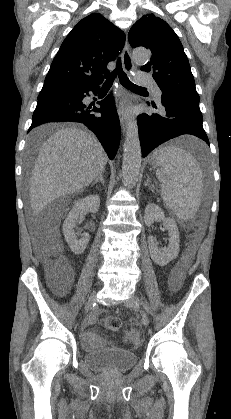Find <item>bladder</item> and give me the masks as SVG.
<instances>
[{
    "label": "bladder",
    "mask_w": 231,
    "mask_h": 419,
    "mask_svg": "<svg viewBox=\"0 0 231 419\" xmlns=\"http://www.w3.org/2000/svg\"><path fill=\"white\" fill-rule=\"evenodd\" d=\"M83 362L86 367L94 371L121 373L138 362V355L123 348L113 347L86 353Z\"/></svg>",
    "instance_id": "1"
}]
</instances>
